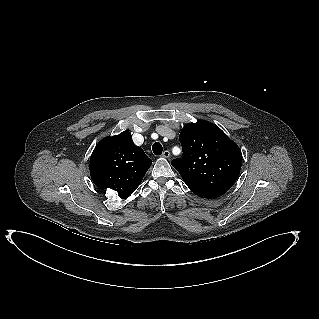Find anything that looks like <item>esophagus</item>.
Returning a JSON list of instances; mask_svg holds the SVG:
<instances>
[{
	"mask_svg": "<svg viewBox=\"0 0 319 319\" xmlns=\"http://www.w3.org/2000/svg\"><path fill=\"white\" fill-rule=\"evenodd\" d=\"M162 156L164 158H169L170 157V152L168 150L163 151Z\"/></svg>",
	"mask_w": 319,
	"mask_h": 319,
	"instance_id": "1",
	"label": "esophagus"
}]
</instances>
